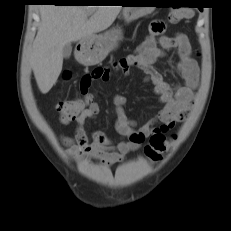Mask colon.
<instances>
[{"label": "colon", "mask_w": 231, "mask_h": 231, "mask_svg": "<svg viewBox=\"0 0 231 231\" xmlns=\"http://www.w3.org/2000/svg\"><path fill=\"white\" fill-rule=\"evenodd\" d=\"M191 17L189 9H175L169 15V20L173 23ZM70 73H66L69 77ZM89 99L86 96L71 100H59L56 104V109L59 112L60 119L63 123H69L75 120L88 105ZM171 140L167 139L163 133H154L151 135L148 144L144 148V153L152 162H158L162 159L165 152L169 149Z\"/></svg>", "instance_id": "5ec220e1"}]
</instances>
